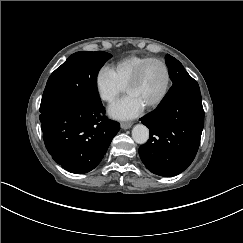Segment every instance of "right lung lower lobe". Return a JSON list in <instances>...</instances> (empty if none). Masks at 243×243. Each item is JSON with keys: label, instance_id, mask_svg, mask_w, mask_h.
Wrapping results in <instances>:
<instances>
[{"label": "right lung lower lobe", "instance_id": "1", "mask_svg": "<svg viewBox=\"0 0 243 243\" xmlns=\"http://www.w3.org/2000/svg\"><path fill=\"white\" fill-rule=\"evenodd\" d=\"M104 112L101 102L78 99L41 112L43 140L55 162L76 174L87 173L100 163L120 129Z\"/></svg>", "mask_w": 243, "mask_h": 243}]
</instances>
